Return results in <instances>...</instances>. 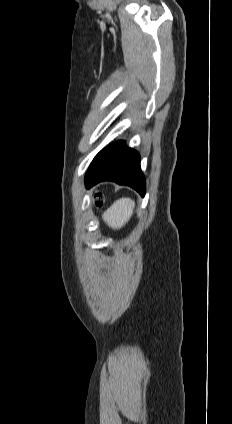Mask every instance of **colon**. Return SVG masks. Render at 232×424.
<instances>
[{"label":"colon","mask_w":232,"mask_h":424,"mask_svg":"<svg viewBox=\"0 0 232 424\" xmlns=\"http://www.w3.org/2000/svg\"><path fill=\"white\" fill-rule=\"evenodd\" d=\"M94 200L97 208H100L103 205V197L100 194H96Z\"/></svg>","instance_id":"1"}]
</instances>
